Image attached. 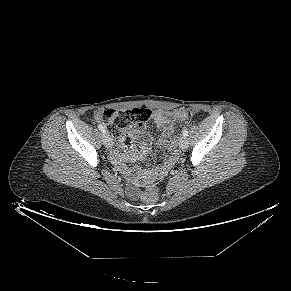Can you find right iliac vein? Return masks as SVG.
<instances>
[{"instance_id": "obj_1", "label": "right iliac vein", "mask_w": 291, "mask_h": 291, "mask_svg": "<svg viewBox=\"0 0 291 291\" xmlns=\"http://www.w3.org/2000/svg\"><path fill=\"white\" fill-rule=\"evenodd\" d=\"M103 143L107 148H111L112 147V140L110 138V136L108 134H104L103 135Z\"/></svg>"}]
</instances>
